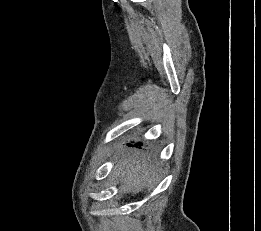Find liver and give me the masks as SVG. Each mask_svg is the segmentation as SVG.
Here are the masks:
<instances>
[{"instance_id":"obj_1","label":"liver","mask_w":261,"mask_h":231,"mask_svg":"<svg viewBox=\"0 0 261 231\" xmlns=\"http://www.w3.org/2000/svg\"><path fill=\"white\" fill-rule=\"evenodd\" d=\"M124 192L137 194L154 179V173L145 160L123 155L112 171Z\"/></svg>"}]
</instances>
